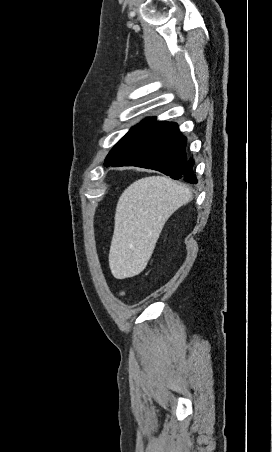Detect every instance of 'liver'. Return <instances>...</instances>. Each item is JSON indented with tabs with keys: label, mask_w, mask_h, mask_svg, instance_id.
I'll list each match as a JSON object with an SVG mask.
<instances>
[{
	"label": "liver",
	"mask_w": 272,
	"mask_h": 452,
	"mask_svg": "<svg viewBox=\"0 0 272 452\" xmlns=\"http://www.w3.org/2000/svg\"><path fill=\"white\" fill-rule=\"evenodd\" d=\"M189 197L185 186L165 176L139 179L124 190L109 251L116 279L134 277L146 268L166 221Z\"/></svg>",
	"instance_id": "obj_1"
}]
</instances>
